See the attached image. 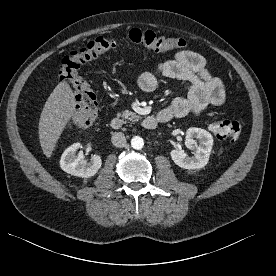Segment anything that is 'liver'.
Listing matches in <instances>:
<instances>
[{
	"mask_svg": "<svg viewBox=\"0 0 276 276\" xmlns=\"http://www.w3.org/2000/svg\"><path fill=\"white\" fill-rule=\"evenodd\" d=\"M75 94L70 85L60 82L48 97L41 112L38 134L44 155L50 158L67 123L75 114Z\"/></svg>",
	"mask_w": 276,
	"mask_h": 276,
	"instance_id": "6515ba94",
	"label": "liver"
}]
</instances>
